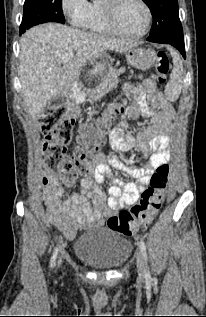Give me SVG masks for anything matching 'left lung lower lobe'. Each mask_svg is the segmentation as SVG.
<instances>
[{"instance_id": "0a47b994", "label": "left lung lower lobe", "mask_w": 206, "mask_h": 317, "mask_svg": "<svg viewBox=\"0 0 206 317\" xmlns=\"http://www.w3.org/2000/svg\"><path fill=\"white\" fill-rule=\"evenodd\" d=\"M162 43L170 44V45L174 46L176 49H178L180 51V53L183 55L184 58L186 57L184 41H164Z\"/></svg>"}]
</instances>
